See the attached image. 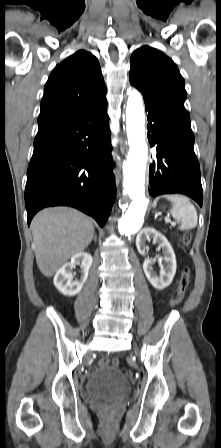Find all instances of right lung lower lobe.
I'll return each instance as SVG.
<instances>
[{"label": "right lung lower lobe", "mask_w": 221, "mask_h": 448, "mask_svg": "<svg viewBox=\"0 0 221 448\" xmlns=\"http://www.w3.org/2000/svg\"><path fill=\"white\" fill-rule=\"evenodd\" d=\"M107 100L38 131L25 188L28 225L47 206L75 207L103 227L115 199Z\"/></svg>", "instance_id": "obj_1"}]
</instances>
